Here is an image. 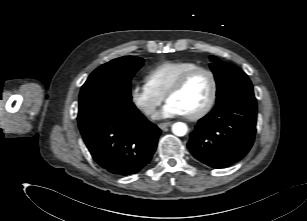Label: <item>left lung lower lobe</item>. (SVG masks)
<instances>
[{"label": "left lung lower lobe", "mask_w": 307, "mask_h": 221, "mask_svg": "<svg viewBox=\"0 0 307 221\" xmlns=\"http://www.w3.org/2000/svg\"><path fill=\"white\" fill-rule=\"evenodd\" d=\"M256 117L255 97L232 99L198 121L188 148L198 161L211 168L233 165L253 145Z\"/></svg>", "instance_id": "left-lung-lower-lobe-1"}]
</instances>
